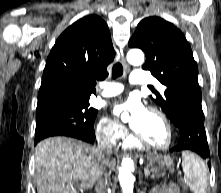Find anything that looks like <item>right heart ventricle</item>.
<instances>
[{"label": "right heart ventricle", "mask_w": 221, "mask_h": 193, "mask_svg": "<svg viewBox=\"0 0 221 193\" xmlns=\"http://www.w3.org/2000/svg\"><path fill=\"white\" fill-rule=\"evenodd\" d=\"M133 145H136L135 143H132V142H129L126 144V146H133Z\"/></svg>", "instance_id": "1"}]
</instances>
